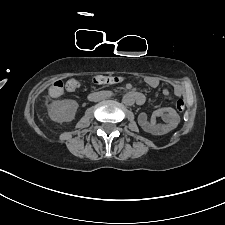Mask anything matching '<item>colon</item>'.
<instances>
[{
    "label": "colon",
    "instance_id": "5ec220e1",
    "mask_svg": "<svg viewBox=\"0 0 225 225\" xmlns=\"http://www.w3.org/2000/svg\"><path fill=\"white\" fill-rule=\"evenodd\" d=\"M123 80V77L109 75H97L93 78V82L98 85L116 84L122 82ZM64 88L68 92H74L80 88V83L76 79L68 80L65 85L62 81H57L49 88V95L54 98L59 97L61 96ZM176 107L178 111L182 112L185 109V101L183 99H179L176 103Z\"/></svg>",
    "mask_w": 225,
    "mask_h": 225
}]
</instances>
